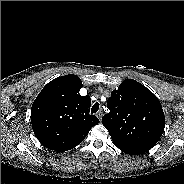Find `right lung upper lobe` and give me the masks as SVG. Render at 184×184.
<instances>
[{
    "mask_svg": "<svg viewBox=\"0 0 184 184\" xmlns=\"http://www.w3.org/2000/svg\"><path fill=\"white\" fill-rule=\"evenodd\" d=\"M80 78L74 74L49 82L31 108L33 131L41 144L54 151H67L80 144L99 123L90 115L91 99L81 96Z\"/></svg>",
    "mask_w": 184,
    "mask_h": 184,
    "instance_id": "obj_1",
    "label": "right lung upper lobe"
}]
</instances>
